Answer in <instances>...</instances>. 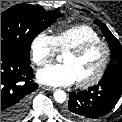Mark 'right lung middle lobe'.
<instances>
[{"label": "right lung middle lobe", "instance_id": "dd1d6c3e", "mask_svg": "<svg viewBox=\"0 0 122 122\" xmlns=\"http://www.w3.org/2000/svg\"><path fill=\"white\" fill-rule=\"evenodd\" d=\"M61 16L58 10L46 11L28 4L7 9L1 13V48L13 50L30 61L33 39Z\"/></svg>", "mask_w": 122, "mask_h": 122}]
</instances>
